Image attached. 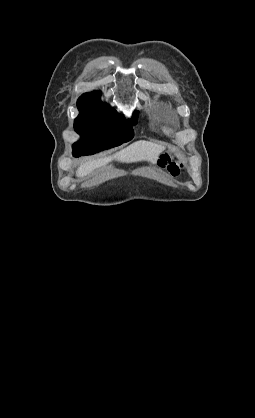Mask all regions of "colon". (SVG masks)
I'll return each instance as SVG.
<instances>
[{"instance_id":"obj_1","label":"colon","mask_w":255,"mask_h":418,"mask_svg":"<svg viewBox=\"0 0 255 418\" xmlns=\"http://www.w3.org/2000/svg\"><path fill=\"white\" fill-rule=\"evenodd\" d=\"M161 167H166L172 175H177L180 172V165L173 161L167 154L163 155L159 161Z\"/></svg>"}]
</instances>
